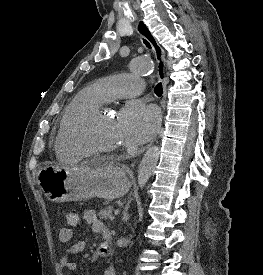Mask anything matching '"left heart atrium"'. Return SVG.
Returning a JSON list of instances; mask_svg holds the SVG:
<instances>
[{"label":"left heart atrium","mask_w":263,"mask_h":275,"mask_svg":"<svg viewBox=\"0 0 263 275\" xmlns=\"http://www.w3.org/2000/svg\"><path fill=\"white\" fill-rule=\"evenodd\" d=\"M159 112L142 101L129 102L118 116V128L125 144L138 146L149 140L159 125Z\"/></svg>","instance_id":"39dd6f15"}]
</instances>
